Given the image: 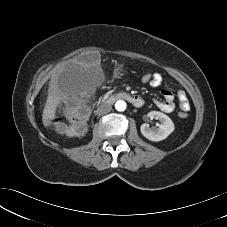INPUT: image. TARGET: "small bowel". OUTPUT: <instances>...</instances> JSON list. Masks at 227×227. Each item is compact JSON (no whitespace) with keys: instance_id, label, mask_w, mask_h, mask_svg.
<instances>
[{"instance_id":"c3829d8e","label":"small bowel","mask_w":227,"mask_h":227,"mask_svg":"<svg viewBox=\"0 0 227 227\" xmlns=\"http://www.w3.org/2000/svg\"><path fill=\"white\" fill-rule=\"evenodd\" d=\"M162 85V76L159 73H155L154 80L150 84L152 87H160ZM161 94L164 100L154 99L155 105L163 112L170 113L175 109V96L173 92L167 88L161 89ZM179 100V108L181 111H189L190 103L184 91H179L177 93Z\"/></svg>"}]
</instances>
